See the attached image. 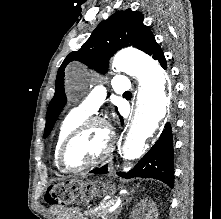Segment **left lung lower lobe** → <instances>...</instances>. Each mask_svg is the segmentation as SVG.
Listing matches in <instances>:
<instances>
[{"label": "left lung lower lobe", "instance_id": "obj_1", "mask_svg": "<svg viewBox=\"0 0 221 219\" xmlns=\"http://www.w3.org/2000/svg\"><path fill=\"white\" fill-rule=\"evenodd\" d=\"M153 59L158 60L163 69L167 68L164 54L157 46L152 54ZM95 174L108 172L107 165L90 171ZM123 178H155L163 181L168 186H174V164H173V139L170 123H166L155 145L146 153L138 164L129 172H117Z\"/></svg>", "mask_w": 221, "mask_h": 219}]
</instances>
